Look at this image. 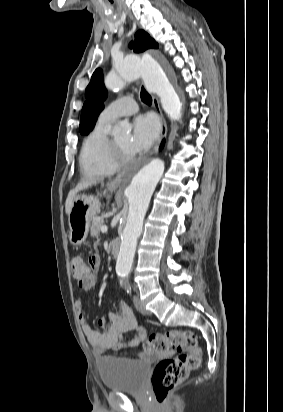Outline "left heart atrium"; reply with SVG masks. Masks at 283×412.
Wrapping results in <instances>:
<instances>
[{"mask_svg": "<svg viewBox=\"0 0 283 412\" xmlns=\"http://www.w3.org/2000/svg\"><path fill=\"white\" fill-rule=\"evenodd\" d=\"M159 121L152 114L140 115L133 123L130 149L133 153L148 149L157 139Z\"/></svg>", "mask_w": 283, "mask_h": 412, "instance_id": "1", "label": "left heart atrium"}]
</instances>
